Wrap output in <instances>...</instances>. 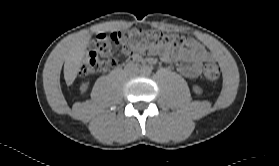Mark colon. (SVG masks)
Masks as SVG:
<instances>
[{
	"instance_id": "1",
	"label": "colon",
	"mask_w": 279,
	"mask_h": 166,
	"mask_svg": "<svg viewBox=\"0 0 279 166\" xmlns=\"http://www.w3.org/2000/svg\"><path fill=\"white\" fill-rule=\"evenodd\" d=\"M191 45L192 42L181 35L155 29L99 33L80 65L79 74L88 76L105 72L117 64V58L121 55L133 57L150 51L175 56L186 52ZM220 74V66L216 62H207L203 67V75L209 81H217Z\"/></svg>"
}]
</instances>
